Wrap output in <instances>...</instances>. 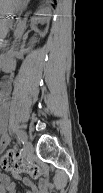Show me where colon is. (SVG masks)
Segmentation results:
<instances>
[{
  "label": "colon",
  "mask_w": 103,
  "mask_h": 193,
  "mask_svg": "<svg viewBox=\"0 0 103 193\" xmlns=\"http://www.w3.org/2000/svg\"><path fill=\"white\" fill-rule=\"evenodd\" d=\"M1 166L7 172L13 174L29 173L35 179L44 175V170L40 166L23 161L14 151H10L2 156Z\"/></svg>",
  "instance_id": "5ec220e1"
}]
</instances>
